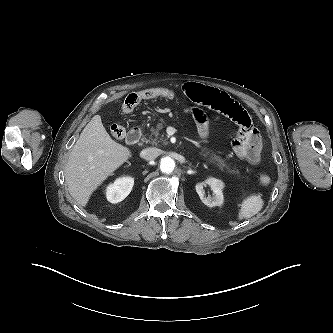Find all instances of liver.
I'll list each match as a JSON object with an SVG mask.
<instances>
[{
  "label": "liver",
  "mask_w": 333,
  "mask_h": 333,
  "mask_svg": "<svg viewBox=\"0 0 333 333\" xmlns=\"http://www.w3.org/2000/svg\"><path fill=\"white\" fill-rule=\"evenodd\" d=\"M131 157L129 148L114 141L100 115L85 126L70 153L65 179L70 195L86 206L92 193Z\"/></svg>",
  "instance_id": "obj_1"
}]
</instances>
